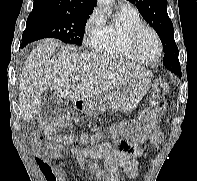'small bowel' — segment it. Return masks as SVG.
Instances as JSON below:
<instances>
[{
    "label": "small bowel",
    "instance_id": "c3829d8e",
    "mask_svg": "<svg viewBox=\"0 0 197 181\" xmlns=\"http://www.w3.org/2000/svg\"><path fill=\"white\" fill-rule=\"evenodd\" d=\"M119 130L123 139L129 143L130 151H124L121 148L107 153L106 145L103 144L86 146L81 149H69L78 159L80 167L91 173L98 181H120L121 170L131 178L138 175L137 159L145 155L144 149L131 139L127 124H121ZM150 139L154 146H158L162 142L163 134L158 127L153 129ZM35 144L36 160L46 181H68L65 170L51 164L52 159L62 162V152L65 147L60 143V140L41 147L40 139L35 138ZM104 156V164L101 167L97 160Z\"/></svg>",
    "mask_w": 197,
    "mask_h": 181
}]
</instances>
